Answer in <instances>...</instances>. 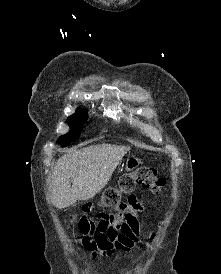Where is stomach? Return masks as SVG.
I'll return each instance as SVG.
<instances>
[{
    "instance_id": "0dacf381",
    "label": "stomach",
    "mask_w": 221,
    "mask_h": 274,
    "mask_svg": "<svg viewBox=\"0 0 221 274\" xmlns=\"http://www.w3.org/2000/svg\"><path fill=\"white\" fill-rule=\"evenodd\" d=\"M140 164V160L134 156L129 157L123 165L126 171H132Z\"/></svg>"
}]
</instances>
